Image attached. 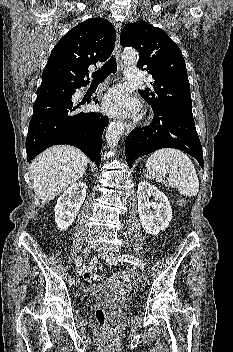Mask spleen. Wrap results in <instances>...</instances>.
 Segmentation results:
<instances>
[{
	"label": "spleen",
	"instance_id": "1",
	"mask_svg": "<svg viewBox=\"0 0 233 352\" xmlns=\"http://www.w3.org/2000/svg\"><path fill=\"white\" fill-rule=\"evenodd\" d=\"M146 169L158 183L165 182L163 174L168 173V185L178 188L180 194L186 197L195 196L199 191V180L194 165L180 150L163 148L155 151L147 159Z\"/></svg>",
	"mask_w": 233,
	"mask_h": 352
}]
</instances>
